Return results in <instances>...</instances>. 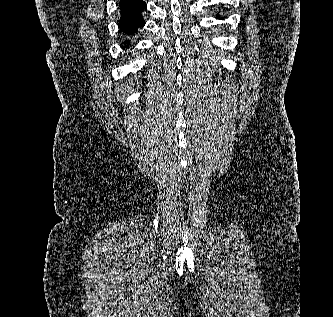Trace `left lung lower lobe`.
<instances>
[{
    "label": "left lung lower lobe",
    "instance_id": "left-lung-lower-lobe-1",
    "mask_svg": "<svg viewBox=\"0 0 333 317\" xmlns=\"http://www.w3.org/2000/svg\"><path fill=\"white\" fill-rule=\"evenodd\" d=\"M216 18L220 19L221 17H220V15H219V14H217ZM221 19H222V18H221Z\"/></svg>",
    "mask_w": 333,
    "mask_h": 317
}]
</instances>
